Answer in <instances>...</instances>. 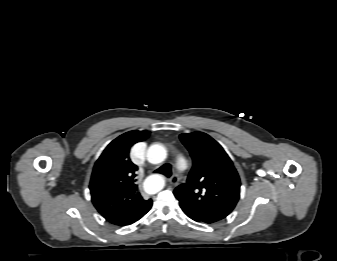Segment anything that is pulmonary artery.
Instances as JSON below:
<instances>
[{"label":"pulmonary artery","mask_w":337,"mask_h":261,"mask_svg":"<svg viewBox=\"0 0 337 261\" xmlns=\"http://www.w3.org/2000/svg\"><path fill=\"white\" fill-rule=\"evenodd\" d=\"M185 161L183 160V159H180L179 161H178V168L179 169H184L185 168Z\"/></svg>","instance_id":"obj_1"}]
</instances>
